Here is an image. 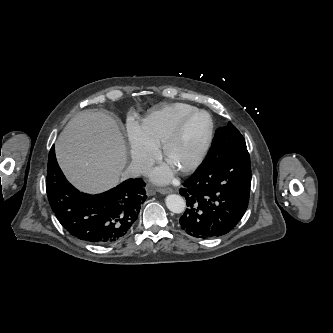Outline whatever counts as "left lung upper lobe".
Masks as SVG:
<instances>
[{"label":"left lung upper lobe","mask_w":333,"mask_h":333,"mask_svg":"<svg viewBox=\"0 0 333 333\" xmlns=\"http://www.w3.org/2000/svg\"><path fill=\"white\" fill-rule=\"evenodd\" d=\"M227 127L235 128L230 122ZM241 149H246V143L245 139L239 132L234 133L233 136L215 144L213 148H210L209 155L227 158L232 157Z\"/></svg>","instance_id":"5c2ea615"}]
</instances>
